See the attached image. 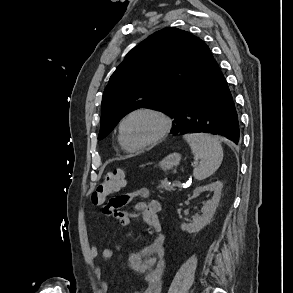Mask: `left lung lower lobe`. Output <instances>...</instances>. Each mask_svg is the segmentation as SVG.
Instances as JSON below:
<instances>
[{"label":"left lung lower lobe","instance_id":"obj_1","mask_svg":"<svg viewBox=\"0 0 293 293\" xmlns=\"http://www.w3.org/2000/svg\"><path fill=\"white\" fill-rule=\"evenodd\" d=\"M204 132L239 143L237 112L226 79L213 61L207 79L183 104L173 134Z\"/></svg>","mask_w":293,"mask_h":293}]
</instances>
